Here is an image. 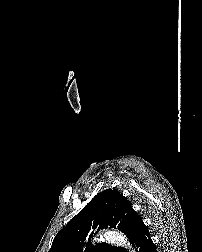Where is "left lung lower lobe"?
I'll use <instances>...</instances> for the list:
<instances>
[{
    "mask_svg": "<svg viewBox=\"0 0 202 252\" xmlns=\"http://www.w3.org/2000/svg\"><path fill=\"white\" fill-rule=\"evenodd\" d=\"M134 244L136 252H157L147 226L141 220L135 228Z\"/></svg>",
    "mask_w": 202,
    "mask_h": 252,
    "instance_id": "1",
    "label": "left lung lower lobe"
}]
</instances>
